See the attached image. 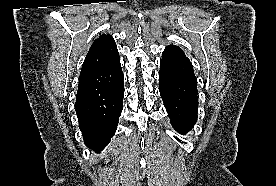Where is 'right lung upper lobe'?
<instances>
[{"mask_svg":"<svg viewBox=\"0 0 276 186\" xmlns=\"http://www.w3.org/2000/svg\"><path fill=\"white\" fill-rule=\"evenodd\" d=\"M122 74L120 57L111 35L102 34L94 40L84 60L79 87L110 82Z\"/></svg>","mask_w":276,"mask_h":186,"instance_id":"cb5924a9","label":"right lung upper lobe"}]
</instances>
